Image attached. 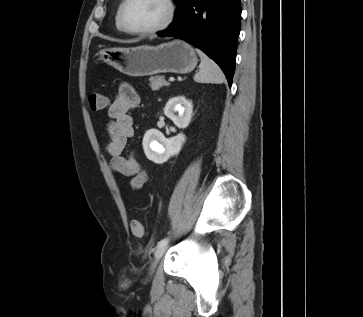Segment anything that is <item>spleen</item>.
Returning <instances> with one entry per match:
<instances>
[{"label": "spleen", "instance_id": "1", "mask_svg": "<svg viewBox=\"0 0 363 317\" xmlns=\"http://www.w3.org/2000/svg\"><path fill=\"white\" fill-rule=\"evenodd\" d=\"M201 58L200 71L195 74L194 81L198 83H223L225 76L220 67L209 58L203 51L197 49Z\"/></svg>", "mask_w": 363, "mask_h": 317}]
</instances>
